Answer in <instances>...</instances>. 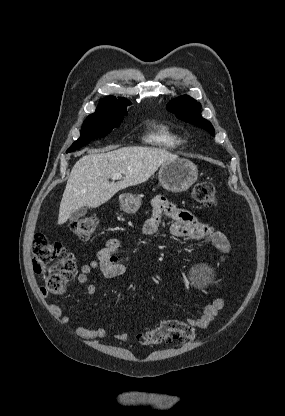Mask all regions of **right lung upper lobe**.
<instances>
[{
  "mask_svg": "<svg viewBox=\"0 0 285 416\" xmlns=\"http://www.w3.org/2000/svg\"><path fill=\"white\" fill-rule=\"evenodd\" d=\"M131 105V103L124 98L116 99L114 96H108L105 99H101L100 103L96 110H120L126 109V106Z\"/></svg>",
  "mask_w": 285,
  "mask_h": 416,
  "instance_id": "right-lung-upper-lobe-1",
  "label": "right lung upper lobe"
}]
</instances>
